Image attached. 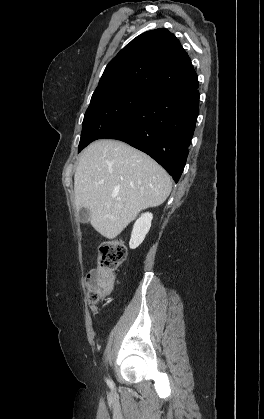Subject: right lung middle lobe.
Here are the masks:
<instances>
[{"mask_svg": "<svg viewBox=\"0 0 264 419\" xmlns=\"http://www.w3.org/2000/svg\"><path fill=\"white\" fill-rule=\"evenodd\" d=\"M153 95L146 89L128 84L96 89L84 116L78 152L124 122L143 101Z\"/></svg>", "mask_w": 264, "mask_h": 419, "instance_id": "right-lung-middle-lobe-1", "label": "right lung middle lobe"}]
</instances>
